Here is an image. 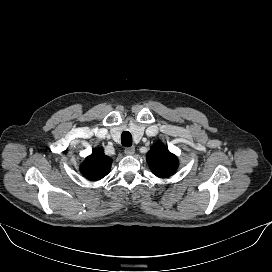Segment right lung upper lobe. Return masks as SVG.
Masks as SVG:
<instances>
[{"instance_id":"obj_1","label":"right lung upper lobe","mask_w":272,"mask_h":272,"mask_svg":"<svg viewBox=\"0 0 272 272\" xmlns=\"http://www.w3.org/2000/svg\"><path fill=\"white\" fill-rule=\"evenodd\" d=\"M111 163L112 160L97 148L85 159L80 170L87 179L97 181L109 173Z\"/></svg>"}]
</instances>
